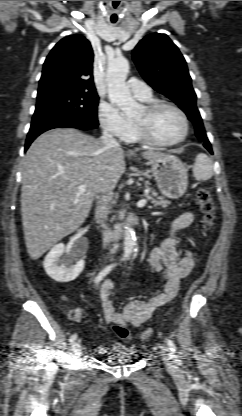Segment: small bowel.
I'll return each mask as SVG.
<instances>
[{
  "instance_id": "c3829d8e",
  "label": "small bowel",
  "mask_w": 242,
  "mask_h": 416,
  "mask_svg": "<svg viewBox=\"0 0 242 416\" xmlns=\"http://www.w3.org/2000/svg\"><path fill=\"white\" fill-rule=\"evenodd\" d=\"M192 222L193 214L191 212H186L174 219L169 225L167 238L149 254L148 260L152 269L166 282L162 292L155 294L148 300H131L119 312L115 309L111 296L114 283L109 279L102 283L100 287V298L105 321L108 324L121 323L139 327L148 321L158 307L170 303L175 299L181 280L189 275L194 266L193 255L190 250H184L183 257H178L175 249L177 241L176 234L180 230L189 229ZM83 318V309L76 308L73 312L72 320L82 322ZM119 346L121 344H114L110 347L98 346L96 351L100 355H107L117 350Z\"/></svg>"
}]
</instances>
